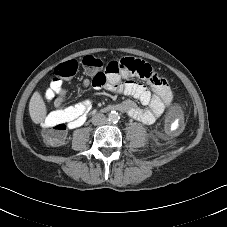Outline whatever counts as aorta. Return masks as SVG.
<instances>
[{
    "label": "aorta",
    "mask_w": 227,
    "mask_h": 227,
    "mask_svg": "<svg viewBox=\"0 0 227 227\" xmlns=\"http://www.w3.org/2000/svg\"><path fill=\"white\" fill-rule=\"evenodd\" d=\"M118 119H119V115H118L117 112L112 111V112L109 113V115H108V120H109L110 122H117Z\"/></svg>",
    "instance_id": "aorta-1"
}]
</instances>
